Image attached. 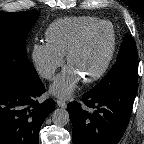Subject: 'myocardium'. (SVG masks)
<instances>
[{"instance_id": "myocardium-1", "label": "myocardium", "mask_w": 144, "mask_h": 144, "mask_svg": "<svg viewBox=\"0 0 144 144\" xmlns=\"http://www.w3.org/2000/svg\"><path fill=\"white\" fill-rule=\"evenodd\" d=\"M104 25H108L110 26L111 29V44H110V48L109 51L107 53V56L104 60V62L102 63L101 67L94 72L93 74H91L88 77H84L82 78V81L84 83H92L97 81L98 79H100L108 70L109 65L114 57L115 51H116V33H115V29L112 25L111 22L109 21H105V20H100L97 23L85 28L72 42V44L70 45L67 53H66V62L69 65L74 54L76 53V51L81 47V45L84 43V41L86 40V38L95 30H97L98 28H100L101 26Z\"/></svg>"}]
</instances>
